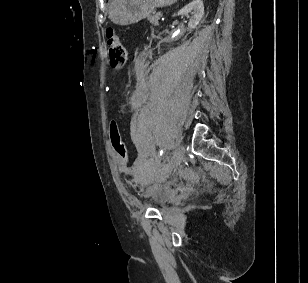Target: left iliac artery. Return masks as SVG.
Segmentation results:
<instances>
[{"label":"left iliac artery","mask_w":308,"mask_h":283,"mask_svg":"<svg viewBox=\"0 0 308 283\" xmlns=\"http://www.w3.org/2000/svg\"><path fill=\"white\" fill-rule=\"evenodd\" d=\"M163 152H164L163 149H161V151H160V156L163 154Z\"/></svg>","instance_id":"44dca946"}]
</instances>
